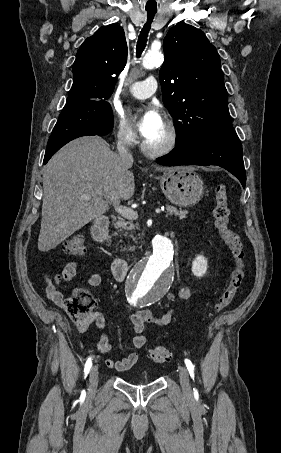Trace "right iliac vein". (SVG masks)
Returning a JSON list of instances; mask_svg holds the SVG:
<instances>
[{
  "mask_svg": "<svg viewBox=\"0 0 281 453\" xmlns=\"http://www.w3.org/2000/svg\"><path fill=\"white\" fill-rule=\"evenodd\" d=\"M90 376H89V379H90V390L93 392L96 388H97V382H98V370L97 369H92L91 372H90Z\"/></svg>",
  "mask_w": 281,
  "mask_h": 453,
  "instance_id": "63e3f726",
  "label": "right iliac vein"
}]
</instances>
